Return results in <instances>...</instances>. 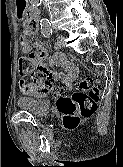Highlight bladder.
I'll return each instance as SVG.
<instances>
[{
	"label": "bladder",
	"mask_w": 123,
	"mask_h": 167,
	"mask_svg": "<svg viewBox=\"0 0 123 167\" xmlns=\"http://www.w3.org/2000/svg\"><path fill=\"white\" fill-rule=\"evenodd\" d=\"M18 105L25 111L38 118L45 117L50 110L49 103L43 98L20 97Z\"/></svg>",
	"instance_id": "31cf9c89"
}]
</instances>
